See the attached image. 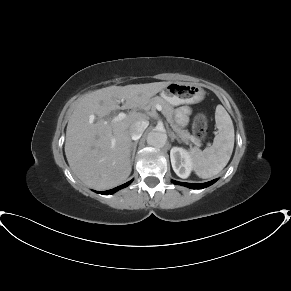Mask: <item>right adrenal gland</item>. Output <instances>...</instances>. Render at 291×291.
Here are the masks:
<instances>
[{"mask_svg":"<svg viewBox=\"0 0 291 291\" xmlns=\"http://www.w3.org/2000/svg\"><path fill=\"white\" fill-rule=\"evenodd\" d=\"M137 144H138V141H135V142L132 143V158H131L132 162L134 161L135 152H136V149H137Z\"/></svg>","mask_w":291,"mask_h":291,"instance_id":"1","label":"right adrenal gland"}]
</instances>
